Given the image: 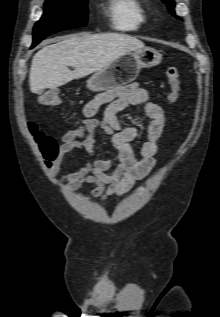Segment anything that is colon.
Segmentation results:
<instances>
[{
  "instance_id": "colon-1",
  "label": "colon",
  "mask_w": 220,
  "mask_h": 317,
  "mask_svg": "<svg viewBox=\"0 0 220 317\" xmlns=\"http://www.w3.org/2000/svg\"><path fill=\"white\" fill-rule=\"evenodd\" d=\"M166 79L170 88L168 100L175 101L179 94L180 74L177 68L170 67L166 71ZM40 103L46 107H58L62 103L60 94L55 90L46 91L40 97ZM28 128L39 153L46 164H51L59 154L57 140L38 129L34 122H29Z\"/></svg>"
}]
</instances>
